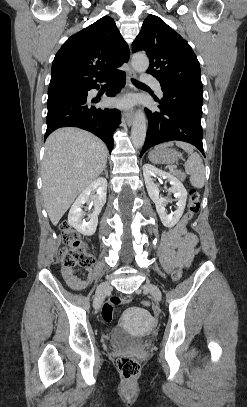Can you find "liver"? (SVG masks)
Returning <instances> with one entry per match:
<instances>
[{
	"label": "liver",
	"instance_id": "1",
	"mask_svg": "<svg viewBox=\"0 0 247 407\" xmlns=\"http://www.w3.org/2000/svg\"><path fill=\"white\" fill-rule=\"evenodd\" d=\"M106 145L79 128L54 131L46 140L42 164V194L48 216L57 225L75 198L102 173Z\"/></svg>",
	"mask_w": 247,
	"mask_h": 407
}]
</instances>
